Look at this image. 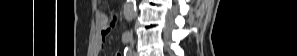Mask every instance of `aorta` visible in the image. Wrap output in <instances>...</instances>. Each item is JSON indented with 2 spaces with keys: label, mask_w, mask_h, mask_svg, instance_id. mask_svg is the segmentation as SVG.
Returning a JSON list of instances; mask_svg holds the SVG:
<instances>
[{
  "label": "aorta",
  "mask_w": 297,
  "mask_h": 56,
  "mask_svg": "<svg viewBox=\"0 0 297 56\" xmlns=\"http://www.w3.org/2000/svg\"><path fill=\"white\" fill-rule=\"evenodd\" d=\"M135 11H136V1L135 0H126V3L124 5V17L125 19L130 22L135 17Z\"/></svg>",
  "instance_id": "aorta-1"
}]
</instances>
